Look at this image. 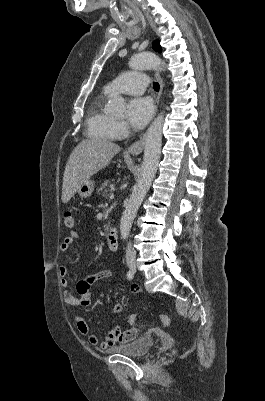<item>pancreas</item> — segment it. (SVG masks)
Returning a JSON list of instances; mask_svg holds the SVG:
<instances>
[{
  "label": "pancreas",
  "mask_w": 265,
  "mask_h": 401,
  "mask_svg": "<svg viewBox=\"0 0 265 401\" xmlns=\"http://www.w3.org/2000/svg\"><path fill=\"white\" fill-rule=\"evenodd\" d=\"M107 186H112L110 180H104V182H102V184H100V186L96 188L98 194H103V196H109L108 190H111V188H107ZM108 227L109 225H107L106 231H108Z\"/></svg>",
  "instance_id": "pancreas-1"
}]
</instances>
